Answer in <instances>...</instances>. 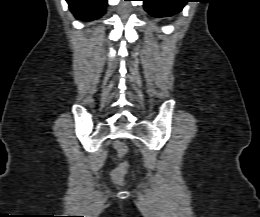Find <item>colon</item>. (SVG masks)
<instances>
[{"label": "colon", "mask_w": 260, "mask_h": 217, "mask_svg": "<svg viewBox=\"0 0 260 217\" xmlns=\"http://www.w3.org/2000/svg\"><path fill=\"white\" fill-rule=\"evenodd\" d=\"M114 147L117 150L120 157H123L127 153V146L121 141H115ZM128 170V165L125 161H121L112 171L111 178L112 180L120 184L124 181L125 175Z\"/></svg>", "instance_id": "colon-1"}]
</instances>
